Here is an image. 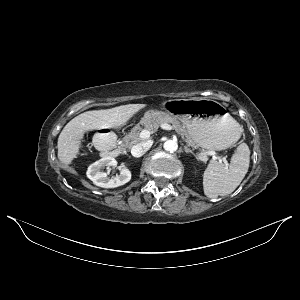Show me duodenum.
I'll use <instances>...</instances> for the list:
<instances>
[{"label": "duodenum", "instance_id": "410a0bca", "mask_svg": "<svg viewBox=\"0 0 300 300\" xmlns=\"http://www.w3.org/2000/svg\"><path fill=\"white\" fill-rule=\"evenodd\" d=\"M111 134H101L96 137V144L101 148L102 153L106 157H118L120 151L118 149L112 150L110 145Z\"/></svg>", "mask_w": 300, "mask_h": 300}]
</instances>
